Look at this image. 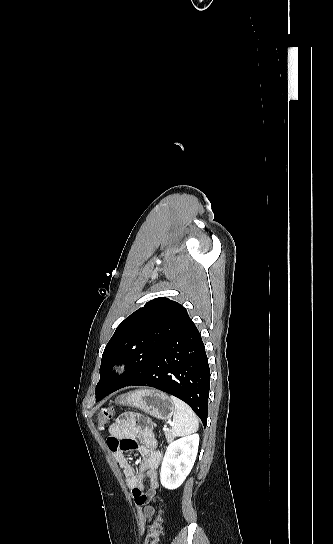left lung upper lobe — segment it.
<instances>
[{
    "instance_id": "1",
    "label": "left lung upper lobe",
    "mask_w": 333,
    "mask_h": 544,
    "mask_svg": "<svg viewBox=\"0 0 333 544\" xmlns=\"http://www.w3.org/2000/svg\"><path fill=\"white\" fill-rule=\"evenodd\" d=\"M187 318L181 304L156 298L122 321L104 349L96 394L114 392L137 378ZM117 363L126 365L120 376L112 371Z\"/></svg>"
}]
</instances>
